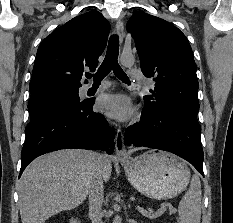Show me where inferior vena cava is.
Returning <instances> with one entry per match:
<instances>
[{
  "mask_svg": "<svg viewBox=\"0 0 233 223\" xmlns=\"http://www.w3.org/2000/svg\"><path fill=\"white\" fill-rule=\"evenodd\" d=\"M92 157L94 159L93 165L90 169V179L88 181L89 203L92 223H102L101 209L104 197L103 177H102V163L104 155L93 151Z\"/></svg>",
  "mask_w": 233,
  "mask_h": 223,
  "instance_id": "1",
  "label": "inferior vena cava"
}]
</instances>
